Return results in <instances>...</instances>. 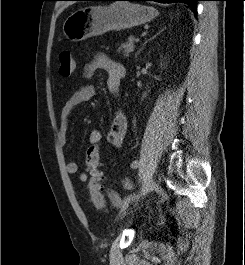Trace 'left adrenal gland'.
Masks as SVG:
<instances>
[{
    "label": "left adrenal gland",
    "mask_w": 245,
    "mask_h": 265,
    "mask_svg": "<svg viewBox=\"0 0 245 265\" xmlns=\"http://www.w3.org/2000/svg\"><path fill=\"white\" fill-rule=\"evenodd\" d=\"M162 31H164V29H161L158 33H156V35H154V36H153L151 39H149L148 41H150V40L156 38V36L159 35ZM148 41H145V43L143 44V47H142V48L138 51V53L136 54V58H137V55H139V53L143 50L144 46L146 45V43H147Z\"/></svg>",
    "instance_id": "left-adrenal-gland-1"
}]
</instances>
